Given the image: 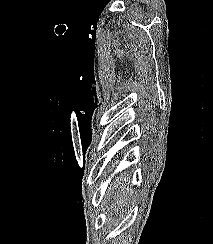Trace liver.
Listing matches in <instances>:
<instances>
[{
  "instance_id": "obj_1",
  "label": "liver",
  "mask_w": 213,
  "mask_h": 244,
  "mask_svg": "<svg viewBox=\"0 0 213 244\" xmlns=\"http://www.w3.org/2000/svg\"><path fill=\"white\" fill-rule=\"evenodd\" d=\"M112 191L114 196L110 207L111 216L113 215V212L118 215L121 210L123 211V208L125 205H128L129 199L133 195V191L128 187V184L119 187L115 186L114 189L112 188Z\"/></svg>"
}]
</instances>
